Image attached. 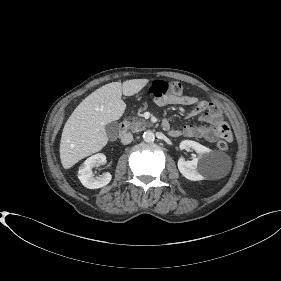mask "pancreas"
<instances>
[{
	"mask_svg": "<svg viewBox=\"0 0 281 281\" xmlns=\"http://www.w3.org/2000/svg\"><path fill=\"white\" fill-rule=\"evenodd\" d=\"M127 128L132 132H139L147 127V122L143 118L134 117L130 121L125 122Z\"/></svg>",
	"mask_w": 281,
	"mask_h": 281,
	"instance_id": "1",
	"label": "pancreas"
}]
</instances>
